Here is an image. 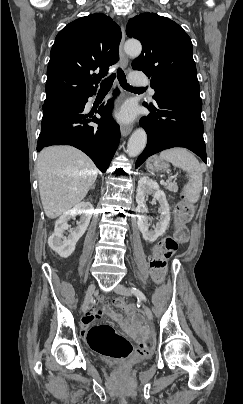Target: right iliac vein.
<instances>
[{"instance_id": "right-iliac-vein-1", "label": "right iliac vein", "mask_w": 243, "mask_h": 404, "mask_svg": "<svg viewBox=\"0 0 243 404\" xmlns=\"http://www.w3.org/2000/svg\"><path fill=\"white\" fill-rule=\"evenodd\" d=\"M94 290H95V284L89 285V287L87 289V292H86L84 303L82 305V311H83L84 314L88 311L89 302H90V299H91V297H92V295L94 293Z\"/></svg>"}]
</instances>
